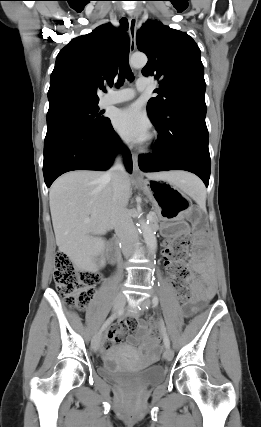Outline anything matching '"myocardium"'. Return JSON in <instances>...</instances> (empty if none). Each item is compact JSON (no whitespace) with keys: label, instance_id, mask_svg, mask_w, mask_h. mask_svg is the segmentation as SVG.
Returning <instances> with one entry per match:
<instances>
[{"label":"myocardium","instance_id":"f54148a6","mask_svg":"<svg viewBox=\"0 0 261 427\" xmlns=\"http://www.w3.org/2000/svg\"><path fill=\"white\" fill-rule=\"evenodd\" d=\"M155 143H156V139H155V138H153V139H152V141H151V143H150V144L148 145V147L146 148V151H151V150L154 148Z\"/></svg>","mask_w":261,"mask_h":427}]
</instances>
